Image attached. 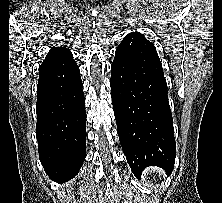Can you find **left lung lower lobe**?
Masks as SVG:
<instances>
[{
  "instance_id": "obj_1",
  "label": "left lung lower lobe",
  "mask_w": 222,
  "mask_h": 203,
  "mask_svg": "<svg viewBox=\"0 0 222 203\" xmlns=\"http://www.w3.org/2000/svg\"><path fill=\"white\" fill-rule=\"evenodd\" d=\"M117 131L136 177L148 166L174 167L176 147L167 83L155 46L143 34H128L111 65Z\"/></svg>"
}]
</instances>
